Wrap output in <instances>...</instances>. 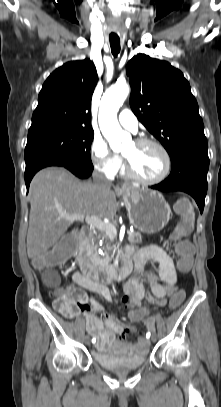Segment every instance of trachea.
Returning <instances> with one entry per match:
<instances>
[{
	"instance_id": "3493384b",
	"label": "trachea",
	"mask_w": 221,
	"mask_h": 407,
	"mask_svg": "<svg viewBox=\"0 0 221 407\" xmlns=\"http://www.w3.org/2000/svg\"><path fill=\"white\" fill-rule=\"evenodd\" d=\"M109 40L112 54L114 57H117L120 52V38L118 36H110Z\"/></svg>"
}]
</instances>
